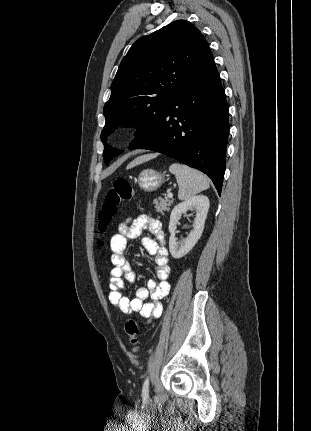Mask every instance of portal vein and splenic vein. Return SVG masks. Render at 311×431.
I'll use <instances>...</instances> for the list:
<instances>
[{
  "label": "portal vein and splenic vein",
  "mask_w": 311,
  "mask_h": 431,
  "mask_svg": "<svg viewBox=\"0 0 311 431\" xmlns=\"http://www.w3.org/2000/svg\"><path fill=\"white\" fill-rule=\"evenodd\" d=\"M167 198H173V194H172L171 190H169Z\"/></svg>",
  "instance_id": "1"
}]
</instances>
